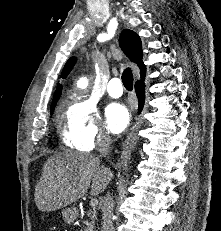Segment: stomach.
<instances>
[{
  "label": "stomach",
  "mask_w": 221,
  "mask_h": 231,
  "mask_svg": "<svg viewBox=\"0 0 221 231\" xmlns=\"http://www.w3.org/2000/svg\"><path fill=\"white\" fill-rule=\"evenodd\" d=\"M62 216L65 222L72 223L77 218V210L74 207L65 208L62 210Z\"/></svg>",
  "instance_id": "stomach-1"
}]
</instances>
